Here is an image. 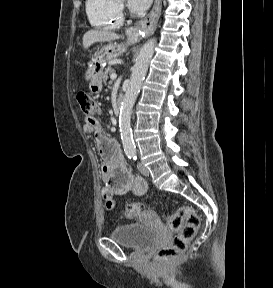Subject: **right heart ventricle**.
<instances>
[{"label": "right heart ventricle", "mask_w": 273, "mask_h": 288, "mask_svg": "<svg viewBox=\"0 0 273 288\" xmlns=\"http://www.w3.org/2000/svg\"><path fill=\"white\" fill-rule=\"evenodd\" d=\"M86 13L91 25L102 29H118L123 23L119 0H86Z\"/></svg>", "instance_id": "e07e8e85"}]
</instances>
